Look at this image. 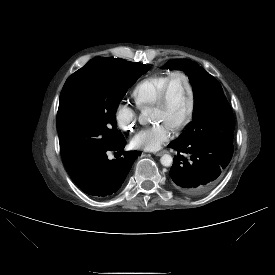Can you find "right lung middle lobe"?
Segmentation results:
<instances>
[{"label":"right lung middle lobe","mask_w":275,"mask_h":275,"mask_svg":"<svg viewBox=\"0 0 275 275\" xmlns=\"http://www.w3.org/2000/svg\"><path fill=\"white\" fill-rule=\"evenodd\" d=\"M142 63L97 60L72 74L60 94L57 130L64 164L103 153L123 138L116 129L119 102L138 77Z\"/></svg>","instance_id":"dd1d6c3e"}]
</instances>
